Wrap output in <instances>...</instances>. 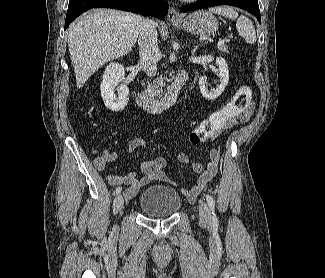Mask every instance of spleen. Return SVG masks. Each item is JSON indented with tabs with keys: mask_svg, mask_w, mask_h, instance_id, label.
Segmentation results:
<instances>
[{
	"mask_svg": "<svg viewBox=\"0 0 325 278\" xmlns=\"http://www.w3.org/2000/svg\"><path fill=\"white\" fill-rule=\"evenodd\" d=\"M209 12L224 16L229 19H237L236 28L239 34L249 44H254L256 42V31L251 20L243 15L238 17V12L235 11L232 7H212L209 9Z\"/></svg>",
	"mask_w": 325,
	"mask_h": 278,
	"instance_id": "spleen-1",
	"label": "spleen"
}]
</instances>
